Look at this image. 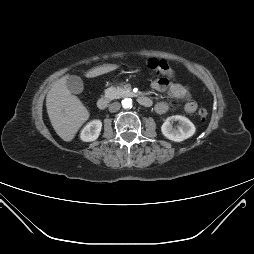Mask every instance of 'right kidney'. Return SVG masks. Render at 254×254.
I'll list each match as a JSON object with an SVG mask.
<instances>
[{
    "label": "right kidney",
    "mask_w": 254,
    "mask_h": 254,
    "mask_svg": "<svg viewBox=\"0 0 254 254\" xmlns=\"http://www.w3.org/2000/svg\"><path fill=\"white\" fill-rule=\"evenodd\" d=\"M102 122L100 120L90 121L81 131L80 138L84 142L95 141L101 132Z\"/></svg>",
    "instance_id": "obj_1"
}]
</instances>
